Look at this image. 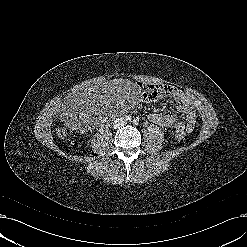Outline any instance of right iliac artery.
Segmentation results:
<instances>
[{"label": "right iliac artery", "instance_id": "1", "mask_svg": "<svg viewBox=\"0 0 247 247\" xmlns=\"http://www.w3.org/2000/svg\"><path fill=\"white\" fill-rule=\"evenodd\" d=\"M127 119H128V120H131V117L128 116Z\"/></svg>", "mask_w": 247, "mask_h": 247}]
</instances>
